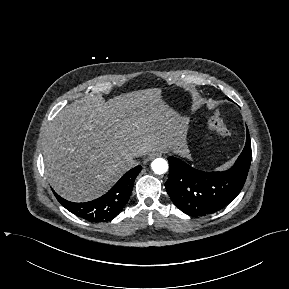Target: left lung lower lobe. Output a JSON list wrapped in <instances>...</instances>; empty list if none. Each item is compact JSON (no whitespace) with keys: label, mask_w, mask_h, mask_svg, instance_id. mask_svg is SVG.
<instances>
[{"label":"left lung lower lobe","mask_w":289,"mask_h":289,"mask_svg":"<svg viewBox=\"0 0 289 289\" xmlns=\"http://www.w3.org/2000/svg\"><path fill=\"white\" fill-rule=\"evenodd\" d=\"M252 158L247 129L245 147L232 168L223 172H203L170 156L165 188L174 204L190 216H205L230 203L241 191Z\"/></svg>","instance_id":"left-lung-lower-lobe-1"}]
</instances>
